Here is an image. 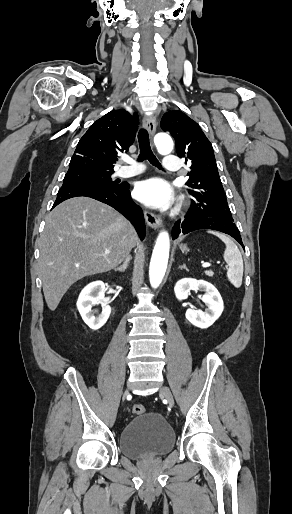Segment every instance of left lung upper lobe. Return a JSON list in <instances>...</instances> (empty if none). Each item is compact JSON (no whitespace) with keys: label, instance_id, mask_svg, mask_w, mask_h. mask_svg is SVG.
Wrapping results in <instances>:
<instances>
[{"label":"left lung upper lobe","instance_id":"left-lung-upper-lobe-1","mask_svg":"<svg viewBox=\"0 0 292 514\" xmlns=\"http://www.w3.org/2000/svg\"><path fill=\"white\" fill-rule=\"evenodd\" d=\"M161 128L171 133L177 155L190 166L186 185L192 201L198 203L203 214L231 215L212 144L200 126L182 111L172 110L162 117Z\"/></svg>","mask_w":292,"mask_h":514}]
</instances>
